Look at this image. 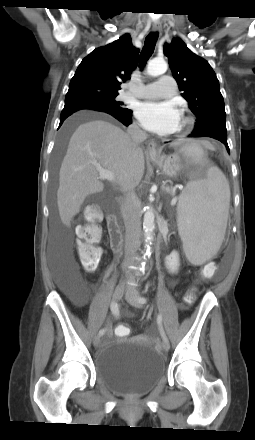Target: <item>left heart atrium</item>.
Masks as SVG:
<instances>
[{
    "label": "left heart atrium",
    "mask_w": 255,
    "mask_h": 440,
    "mask_svg": "<svg viewBox=\"0 0 255 440\" xmlns=\"http://www.w3.org/2000/svg\"><path fill=\"white\" fill-rule=\"evenodd\" d=\"M135 114L146 130L161 135L177 131L181 120L179 110L171 102H143Z\"/></svg>",
    "instance_id": "39dd6f15"
}]
</instances>
